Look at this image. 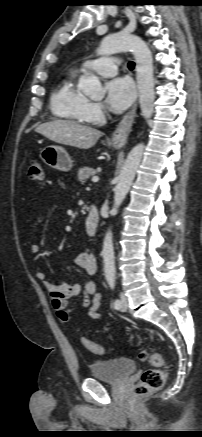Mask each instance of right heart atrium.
I'll return each instance as SVG.
<instances>
[{
  "mask_svg": "<svg viewBox=\"0 0 202 437\" xmlns=\"http://www.w3.org/2000/svg\"><path fill=\"white\" fill-rule=\"evenodd\" d=\"M87 114L90 120H94V121L101 120L104 115L102 105L96 102H89L87 106Z\"/></svg>",
  "mask_w": 202,
  "mask_h": 437,
  "instance_id": "d8ad5b80",
  "label": "right heart atrium"
}]
</instances>
